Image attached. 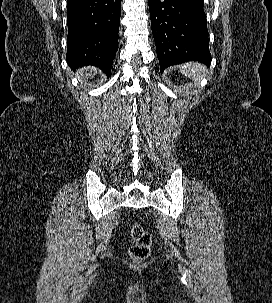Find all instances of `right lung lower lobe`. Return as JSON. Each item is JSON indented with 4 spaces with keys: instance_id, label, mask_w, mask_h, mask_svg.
Returning <instances> with one entry per match:
<instances>
[{
    "instance_id": "right-lung-lower-lobe-1",
    "label": "right lung lower lobe",
    "mask_w": 272,
    "mask_h": 303,
    "mask_svg": "<svg viewBox=\"0 0 272 303\" xmlns=\"http://www.w3.org/2000/svg\"><path fill=\"white\" fill-rule=\"evenodd\" d=\"M67 63L110 75L118 43L121 0H68Z\"/></svg>"
}]
</instances>
